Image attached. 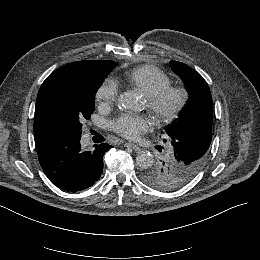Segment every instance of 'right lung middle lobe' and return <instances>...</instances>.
Here are the masks:
<instances>
[{
    "label": "right lung middle lobe",
    "mask_w": 260,
    "mask_h": 260,
    "mask_svg": "<svg viewBox=\"0 0 260 260\" xmlns=\"http://www.w3.org/2000/svg\"><path fill=\"white\" fill-rule=\"evenodd\" d=\"M107 74H87L53 91L46 103L44 124L56 140L81 137L82 122L94 112L95 94Z\"/></svg>",
    "instance_id": "obj_1"
}]
</instances>
